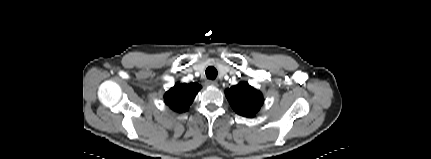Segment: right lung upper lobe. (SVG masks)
I'll list each match as a JSON object with an SVG mask.
<instances>
[{
	"label": "right lung upper lobe",
	"instance_id": "cb5924a9",
	"mask_svg": "<svg viewBox=\"0 0 431 159\" xmlns=\"http://www.w3.org/2000/svg\"><path fill=\"white\" fill-rule=\"evenodd\" d=\"M200 89L197 83L176 84L165 94V102L177 112L187 111Z\"/></svg>",
	"mask_w": 431,
	"mask_h": 159
}]
</instances>
